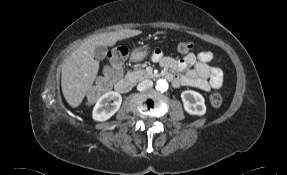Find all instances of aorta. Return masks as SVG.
Returning a JSON list of instances; mask_svg holds the SVG:
<instances>
[{
	"mask_svg": "<svg viewBox=\"0 0 287 175\" xmlns=\"http://www.w3.org/2000/svg\"><path fill=\"white\" fill-rule=\"evenodd\" d=\"M168 82L165 79H158L156 81V89L161 91V92H165L168 90Z\"/></svg>",
	"mask_w": 287,
	"mask_h": 175,
	"instance_id": "obj_1",
	"label": "aorta"
}]
</instances>
